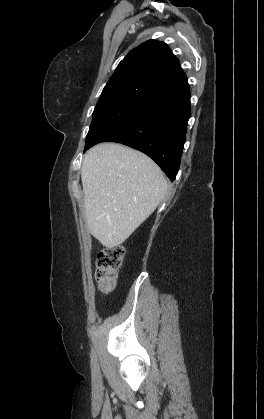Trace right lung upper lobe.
<instances>
[{"label": "right lung upper lobe", "mask_w": 264, "mask_h": 419, "mask_svg": "<svg viewBox=\"0 0 264 419\" xmlns=\"http://www.w3.org/2000/svg\"><path fill=\"white\" fill-rule=\"evenodd\" d=\"M128 85L153 97L189 88L178 59L164 42L149 40L131 50L107 82Z\"/></svg>", "instance_id": "1"}]
</instances>
